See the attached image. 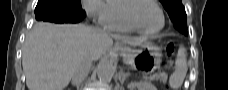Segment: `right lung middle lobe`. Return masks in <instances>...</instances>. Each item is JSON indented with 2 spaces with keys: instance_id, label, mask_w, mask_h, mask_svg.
I'll return each instance as SVG.
<instances>
[{
  "instance_id": "right-lung-middle-lobe-1",
  "label": "right lung middle lobe",
  "mask_w": 228,
  "mask_h": 90,
  "mask_svg": "<svg viewBox=\"0 0 228 90\" xmlns=\"http://www.w3.org/2000/svg\"><path fill=\"white\" fill-rule=\"evenodd\" d=\"M46 0H39L38 6H41ZM55 5L65 9L68 14L75 15L81 8V0H55Z\"/></svg>"
}]
</instances>
